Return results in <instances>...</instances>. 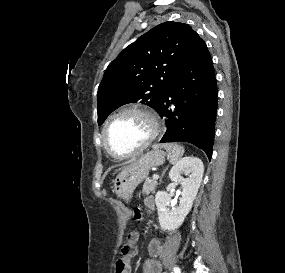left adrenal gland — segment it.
Listing matches in <instances>:
<instances>
[{"mask_svg":"<svg viewBox=\"0 0 285 273\" xmlns=\"http://www.w3.org/2000/svg\"><path fill=\"white\" fill-rule=\"evenodd\" d=\"M167 170V168L166 169H164V171H163V174L165 173V171ZM163 174H162V176H163ZM160 182H161V180H160Z\"/></svg>","mask_w":285,"mask_h":273,"instance_id":"1","label":"left adrenal gland"}]
</instances>
